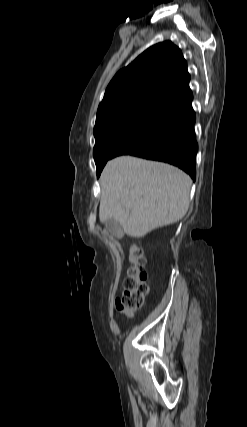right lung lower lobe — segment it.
<instances>
[{"label": "right lung lower lobe", "instance_id": "98d812e1", "mask_svg": "<svg viewBox=\"0 0 247 427\" xmlns=\"http://www.w3.org/2000/svg\"><path fill=\"white\" fill-rule=\"evenodd\" d=\"M190 89L177 94L154 109L118 145L110 159L130 154L173 164L195 180V113Z\"/></svg>", "mask_w": 247, "mask_h": 427}]
</instances>
